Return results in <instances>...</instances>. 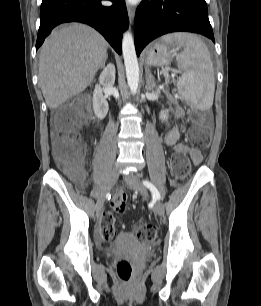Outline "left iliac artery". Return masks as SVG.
<instances>
[{
  "label": "left iliac artery",
  "mask_w": 261,
  "mask_h": 306,
  "mask_svg": "<svg viewBox=\"0 0 261 306\" xmlns=\"http://www.w3.org/2000/svg\"><path fill=\"white\" fill-rule=\"evenodd\" d=\"M143 185H144L145 187H147V188L151 191L152 196H153L154 198L160 200L161 195H160L159 191L157 190V188H156L150 181L144 180V181H143Z\"/></svg>",
  "instance_id": "44dca946"
}]
</instances>
